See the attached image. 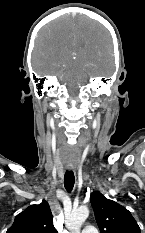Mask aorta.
I'll use <instances>...</instances> for the list:
<instances>
[{
  "label": "aorta",
  "mask_w": 145,
  "mask_h": 233,
  "mask_svg": "<svg viewBox=\"0 0 145 233\" xmlns=\"http://www.w3.org/2000/svg\"><path fill=\"white\" fill-rule=\"evenodd\" d=\"M88 216L89 209L86 206H81L72 211L71 215L65 221V226L67 229L65 233H80L81 226Z\"/></svg>",
  "instance_id": "aorta-1"
}]
</instances>
